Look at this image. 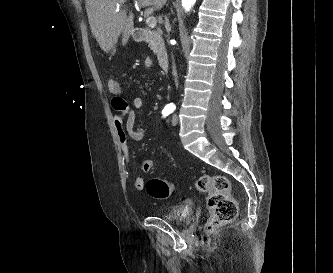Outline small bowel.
Wrapping results in <instances>:
<instances>
[{"label":"small bowel","instance_id":"c3829d8e","mask_svg":"<svg viewBox=\"0 0 333 273\" xmlns=\"http://www.w3.org/2000/svg\"><path fill=\"white\" fill-rule=\"evenodd\" d=\"M145 69H152V62H145ZM111 103L115 109L113 117V125L117 133V137L122 149V152L127 160L130 159L129 140L141 141L144 138V130L138 122V113L144 105L142 97H135L132 106L127 108L128 103L124 96H111ZM145 182L141 176L134 179V187L137 190L144 189Z\"/></svg>","mask_w":333,"mask_h":273}]
</instances>
